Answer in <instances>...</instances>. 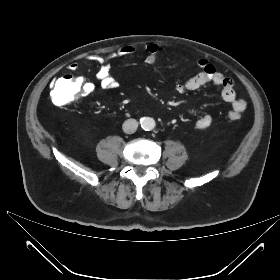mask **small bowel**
<instances>
[{"label":"small bowel","mask_w":280,"mask_h":280,"mask_svg":"<svg viewBox=\"0 0 280 280\" xmlns=\"http://www.w3.org/2000/svg\"><path fill=\"white\" fill-rule=\"evenodd\" d=\"M158 46L155 44H149L146 47V57L145 62L147 64H153L157 60L158 56ZM138 52V48L132 45H125L115 51L107 54H95L89 57L91 62L99 64V69L96 72L95 80L96 83L105 89H113L119 86V81L115 78L110 69V60L118 57H131ZM198 65L201 68V72L197 75L189 78L185 82L178 83L176 85V90L179 93L185 91H194L207 84H214L220 86L221 98L230 103L232 106V111L229 112L228 116L231 120L234 114L241 115L247 107V103L242 98H237L234 91L233 80L224 75L222 72L218 71L208 60L200 59ZM68 69L72 72L78 70L77 63H71L68 65ZM96 88L95 82L82 80L81 93L84 95H90L94 92ZM212 117L210 115H204L195 122V128L197 130H205L209 128L212 124Z\"/></svg>","instance_id":"obj_1"}]
</instances>
